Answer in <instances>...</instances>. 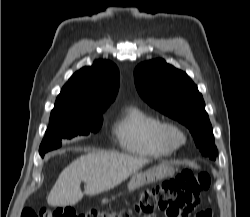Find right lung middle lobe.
I'll list each match as a JSON object with an SVG mask.
<instances>
[{"label":"right lung middle lobe","instance_id":"obj_1","mask_svg":"<svg viewBox=\"0 0 250 217\" xmlns=\"http://www.w3.org/2000/svg\"><path fill=\"white\" fill-rule=\"evenodd\" d=\"M103 112L50 120L45 137L39 148L40 155L43 157L46 152L59 148L61 146L60 140L62 139H71L78 135H88L90 132H97L103 122Z\"/></svg>","mask_w":250,"mask_h":217}]
</instances>
